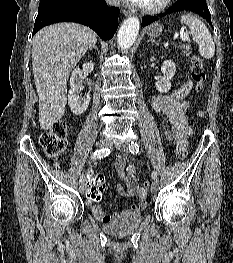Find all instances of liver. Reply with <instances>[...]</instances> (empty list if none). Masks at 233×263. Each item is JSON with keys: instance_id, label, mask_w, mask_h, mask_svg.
<instances>
[{"instance_id": "6515ba94", "label": "liver", "mask_w": 233, "mask_h": 263, "mask_svg": "<svg viewBox=\"0 0 233 263\" xmlns=\"http://www.w3.org/2000/svg\"><path fill=\"white\" fill-rule=\"evenodd\" d=\"M96 41L93 30L76 23L49 25L34 36L32 67L43 130L51 129L65 114L70 72Z\"/></svg>"}]
</instances>
